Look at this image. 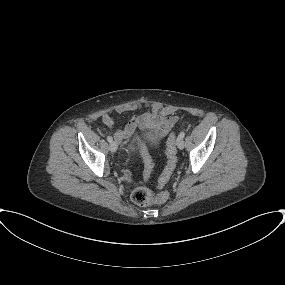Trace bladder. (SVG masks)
I'll use <instances>...</instances> for the list:
<instances>
[{
  "instance_id": "31cf9c89",
  "label": "bladder",
  "mask_w": 285,
  "mask_h": 285,
  "mask_svg": "<svg viewBox=\"0 0 285 285\" xmlns=\"http://www.w3.org/2000/svg\"><path fill=\"white\" fill-rule=\"evenodd\" d=\"M158 141H159V137L156 136L153 132L148 131L147 133L141 134L138 137L136 144H138V145L147 144L151 148H153L155 146V143H157ZM135 151H136V146L131 147L128 151L129 156L133 157Z\"/></svg>"
}]
</instances>
